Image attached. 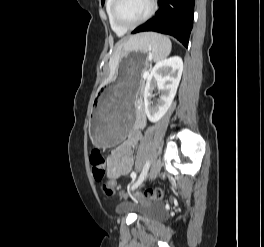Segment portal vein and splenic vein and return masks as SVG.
<instances>
[{"label": "portal vein and splenic vein", "instance_id": "portal-vein-and-splenic-vein-1", "mask_svg": "<svg viewBox=\"0 0 264 247\" xmlns=\"http://www.w3.org/2000/svg\"><path fill=\"white\" fill-rule=\"evenodd\" d=\"M142 77L144 79H146L148 77V71L146 69L144 70Z\"/></svg>", "mask_w": 264, "mask_h": 247}]
</instances>
